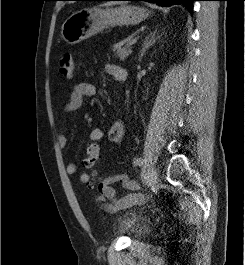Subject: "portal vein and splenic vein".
I'll return each instance as SVG.
<instances>
[{
    "instance_id": "18ae733b",
    "label": "portal vein and splenic vein",
    "mask_w": 245,
    "mask_h": 265,
    "mask_svg": "<svg viewBox=\"0 0 245 265\" xmlns=\"http://www.w3.org/2000/svg\"><path fill=\"white\" fill-rule=\"evenodd\" d=\"M136 42H137V40H136V39H133L132 41H130V42L128 43V45H129V46H132V45L136 44Z\"/></svg>"
}]
</instances>
